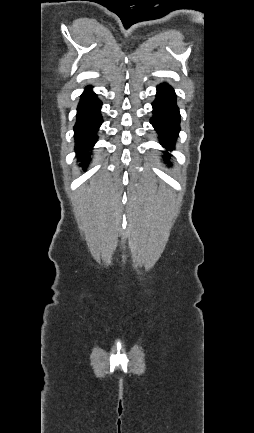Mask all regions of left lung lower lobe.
<instances>
[{"label": "left lung lower lobe", "mask_w": 254, "mask_h": 433, "mask_svg": "<svg viewBox=\"0 0 254 433\" xmlns=\"http://www.w3.org/2000/svg\"><path fill=\"white\" fill-rule=\"evenodd\" d=\"M152 106L154 115L151 123L160 135L161 145L171 150L180 131V114L173 88L168 84L159 85Z\"/></svg>", "instance_id": "obj_1"}]
</instances>
